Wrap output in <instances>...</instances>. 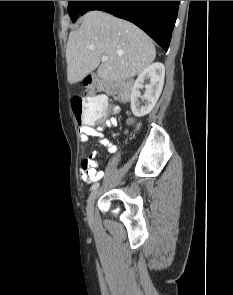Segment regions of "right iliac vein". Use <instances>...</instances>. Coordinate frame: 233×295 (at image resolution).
<instances>
[{
	"instance_id": "obj_1",
	"label": "right iliac vein",
	"mask_w": 233,
	"mask_h": 295,
	"mask_svg": "<svg viewBox=\"0 0 233 295\" xmlns=\"http://www.w3.org/2000/svg\"><path fill=\"white\" fill-rule=\"evenodd\" d=\"M98 193H99L98 189L93 190L87 199L86 212H87L88 216H91L93 213L94 202H95V199H96Z\"/></svg>"
}]
</instances>
